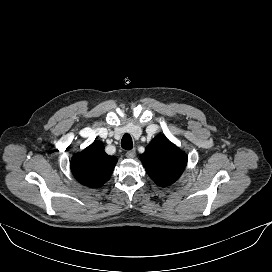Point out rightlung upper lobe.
Masks as SVG:
<instances>
[{"label":"right lung upper lobe","mask_w":272,"mask_h":272,"mask_svg":"<svg viewBox=\"0 0 272 272\" xmlns=\"http://www.w3.org/2000/svg\"><path fill=\"white\" fill-rule=\"evenodd\" d=\"M116 162V157L105 153L103 143L95 141L72 157L70 167L80 183L97 188L109 180Z\"/></svg>","instance_id":"1"}]
</instances>
